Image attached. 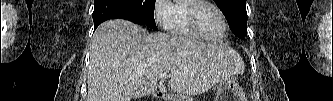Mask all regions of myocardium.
Listing matches in <instances>:
<instances>
[{
  "label": "myocardium",
  "instance_id": "obj_1",
  "mask_svg": "<svg viewBox=\"0 0 333 101\" xmlns=\"http://www.w3.org/2000/svg\"><path fill=\"white\" fill-rule=\"evenodd\" d=\"M203 6H209V7L213 8L220 15V17L223 21V24H224V32L220 37H218V38L208 37L201 30V28L199 26V22H198V12ZM187 20H188V24H189L190 28L192 29V31L196 35H198L200 38L208 40V41H213V42L222 41L223 39H225V37L228 35V32H229V24H228L226 16L222 12V10L212 2L193 1L188 6V9H187Z\"/></svg>",
  "mask_w": 333,
  "mask_h": 101
}]
</instances>
